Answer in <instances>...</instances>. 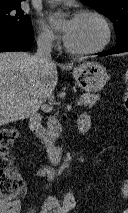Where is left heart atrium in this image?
Wrapping results in <instances>:
<instances>
[{
  "label": "left heart atrium",
  "mask_w": 128,
  "mask_h": 213,
  "mask_svg": "<svg viewBox=\"0 0 128 213\" xmlns=\"http://www.w3.org/2000/svg\"><path fill=\"white\" fill-rule=\"evenodd\" d=\"M48 21H50V22L52 21V16L48 17ZM72 21H73V19H71V18L67 19L64 26H63V37H64L65 40L68 37L69 31H70V28H71V25H72Z\"/></svg>",
  "instance_id": "39dd6f15"
}]
</instances>
